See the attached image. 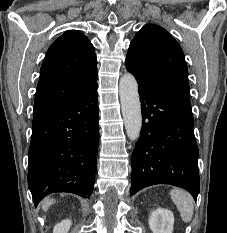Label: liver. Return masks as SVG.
I'll list each match as a JSON object with an SVG mask.
<instances>
[{"instance_id": "6515ba94", "label": "liver", "mask_w": 227, "mask_h": 233, "mask_svg": "<svg viewBox=\"0 0 227 233\" xmlns=\"http://www.w3.org/2000/svg\"><path fill=\"white\" fill-rule=\"evenodd\" d=\"M55 201L54 200H46L43 202L42 204V209L43 210H48V208L50 207V205H52Z\"/></svg>"}]
</instances>
